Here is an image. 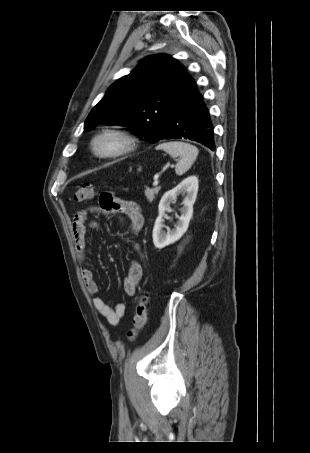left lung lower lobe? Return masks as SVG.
<instances>
[{"mask_svg": "<svg viewBox=\"0 0 310 453\" xmlns=\"http://www.w3.org/2000/svg\"><path fill=\"white\" fill-rule=\"evenodd\" d=\"M189 139L215 150L213 124L209 110L189 76L186 86L160 136L162 139Z\"/></svg>", "mask_w": 310, "mask_h": 453, "instance_id": "0a47b994", "label": "left lung lower lobe"}]
</instances>
